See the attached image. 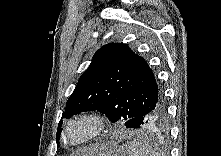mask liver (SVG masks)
Here are the masks:
<instances>
[{"mask_svg":"<svg viewBox=\"0 0 221 156\" xmlns=\"http://www.w3.org/2000/svg\"><path fill=\"white\" fill-rule=\"evenodd\" d=\"M97 149H98L97 146H93L91 148L85 149V152L88 153L89 155H92L94 151H96Z\"/></svg>","mask_w":221,"mask_h":156,"instance_id":"6515ba94","label":"liver"}]
</instances>
